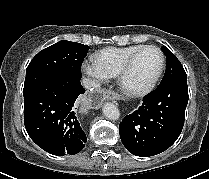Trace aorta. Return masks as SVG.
Returning a JSON list of instances; mask_svg holds the SVG:
<instances>
[{
  "label": "aorta",
  "instance_id": "obj_1",
  "mask_svg": "<svg viewBox=\"0 0 209 179\" xmlns=\"http://www.w3.org/2000/svg\"><path fill=\"white\" fill-rule=\"evenodd\" d=\"M102 110L103 114L110 120H117L120 117L119 109L113 103H106Z\"/></svg>",
  "mask_w": 209,
  "mask_h": 179
}]
</instances>
